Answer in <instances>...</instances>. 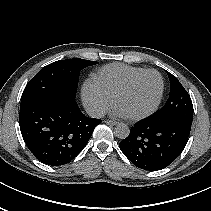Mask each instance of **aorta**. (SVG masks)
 <instances>
[{
    "mask_svg": "<svg viewBox=\"0 0 211 211\" xmlns=\"http://www.w3.org/2000/svg\"><path fill=\"white\" fill-rule=\"evenodd\" d=\"M130 133L129 126L125 123H119L114 130V135L119 139H125Z\"/></svg>",
    "mask_w": 211,
    "mask_h": 211,
    "instance_id": "762f6f07",
    "label": "aorta"
}]
</instances>
